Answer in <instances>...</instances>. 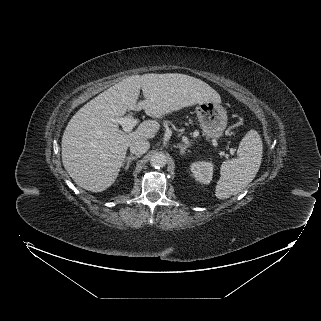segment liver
<instances>
[{
  "label": "liver",
  "mask_w": 321,
  "mask_h": 321,
  "mask_svg": "<svg viewBox=\"0 0 321 321\" xmlns=\"http://www.w3.org/2000/svg\"><path fill=\"white\" fill-rule=\"evenodd\" d=\"M142 89L144 100L138 102ZM216 101L219 94L200 79L178 73L133 75L100 93L69 121L62 137L63 166L88 191L102 192L116 180L127 149L136 140L152 139L156 121H144L129 133L114 119L127 110H144L154 119L184 107Z\"/></svg>",
  "instance_id": "obj_1"
}]
</instances>
